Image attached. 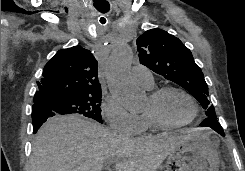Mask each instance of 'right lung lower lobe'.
I'll return each instance as SVG.
<instances>
[{"mask_svg":"<svg viewBox=\"0 0 245 171\" xmlns=\"http://www.w3.org/2000/svg\"><path fill=\"white\" fill-rule=\"evenodd\" d=\"M57 115L48 105L42 102L35 103L32 107L33 132L36 133L40 126L48 119Z\"/></svg>","mask_w":245,"mask_h":171,"instance_id":"right-lung-lower-lobe-1","label":"right lung lower lobe"}]
</instances>
